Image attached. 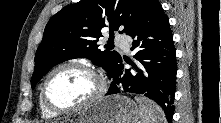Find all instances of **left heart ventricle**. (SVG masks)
Returning <instances> with one entry per match:
<instances>
[{"mask_svg": "<svg viewBox=\"0 0 221 123\" xmlns=\"http://www.w3.org/2000/svg\"><path fill=\"white\" fill-rule=\"evenodd\" d=\"M97 88V80L88 72L78 68H65L52 76L47 94L53 104L69 107L88 100Z\"/></svg>", "mask_w": 221, "mask_h": 123, "instance_id": "obj_1", "label": "left heart ventricle"}]
</instances>
